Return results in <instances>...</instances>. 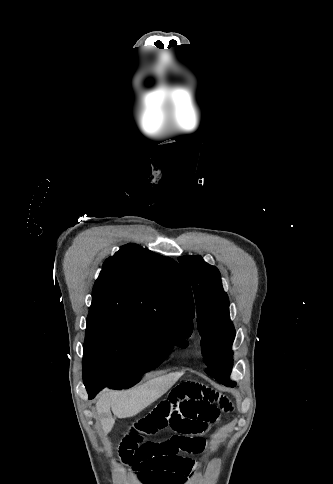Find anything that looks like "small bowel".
<instances>
[{"instance_id": "1", "label": "small bowel", "mask_w": 333, "mask_h": 484, "mask_svg": "<svg viewBox=\"0 0 333 484\" xmlns=\"http://www.w3.org/2000/svg\"><path fill=\"white\" fill-rule=\"evenodd\" d=\"M231 410L232 404L225 395L202 383L181 382L130 426L120 443V457L144 484H185L197 464L180 452L201 453L207 445L203 433L208 425ZM165 429L173 435L163 442L144 441L145 435Z\"/></svg>"}]
</instances>
